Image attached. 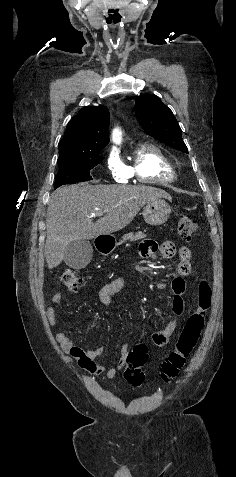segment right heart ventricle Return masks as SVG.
Instances as JSON below:
<instances>
[{"label":"right heart ventricle","mask_w":236,"mask_h":477,"mask_svg":"<svg viewBox=\"0 0 236 477\" xmlns=\"http://www.w3.org/2000/svg\"><path fill=\"white\" fill-rule=\"evenodd\" d=\"M127 169L130 178L144 184L171 183L176 178L171 161L158 146L151 143L136 149Z\"/></svg>","instance_id":"1"}]
</instances>
